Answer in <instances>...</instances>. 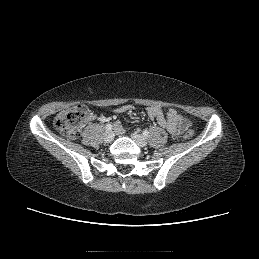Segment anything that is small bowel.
I'll return each mask as SVG.
<instances>
[{
	"label": "small bowel",
	"instance_id": "c3829d8e",
	"mask_svg": "<svg viewBox=\"0 0 259 259\" xmlns=\"http://www.w3.org/2000/svg\"><path fill=\"white\" fill-rule=\"evenodd\" d=\"M132 111H134V107L129 104L119 106L113 110L116 114L130 113ZM147 114L153 122L159 127L166 129L173 136H179L191 125V122L181 116L175 109H169L164 112L160 107L151 106L147 109ZM91 118H94V116ZM115 126L119 127V123H116Z\"/></svg>",
	"mask_w": 259,
	"mask_h": 259
}]
</instances>
